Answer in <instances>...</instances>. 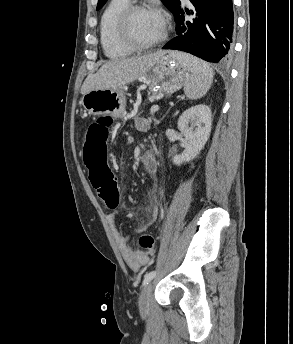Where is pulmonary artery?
I'll use <instances>...</instances> for the list:
<instances>
[{"instance_id": "1", "label": "pulmonary artery", "mask_w": 293, "mask_h": 344, "mask_svg": "<svg viewBox=\"0 0 293 344\" xmlns=\"http://www.w3.org/2000/svg\"><path fill=\"white\" fill-rule=\"evenodd\" d=\"M184 3H188L189 2V0H182Z\"/></svg>"}]
</instances>
